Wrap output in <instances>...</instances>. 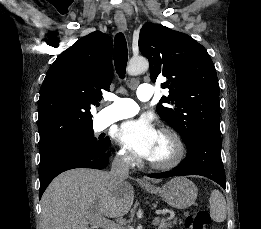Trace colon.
Returning a JSON list of instances; mask_svg holds the SVG:
<instances>
[{"label": "colon", "mask_w": 261, "mask_h": 229, "mask_svg": "<svg viewBox=\"0 0 261 229\" xmlns=\"http://www.w3.org/2000/svg\"><path fill=\"white\" fill-rule=\"evenodd\" d=\"M210 222L208 211L200 209L186 217L185 229H208Z\"/></svg>", "instance_id": "obj_1"}]
</instances>
